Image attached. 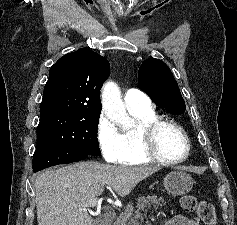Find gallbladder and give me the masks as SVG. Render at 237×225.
<instances>
[{"label":"gallbladder","instance_id":"obj_1","mask_svg":"<svg viewBox=\"0 0 237 225\" xmlns=\"http://www.w3.org/2000/svg\"><path fill=\"white\" fill-rule=\"evenodd\" d=\"M112 219L102 216L98 219V225H111Z\"/></svg>","mask_w":237,"mask_h":225}]
</instances>
